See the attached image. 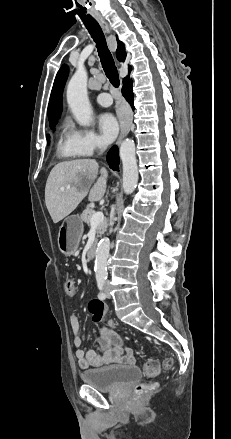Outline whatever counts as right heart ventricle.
I'll use <instances>...</instances> for the list:
<instances>
[{
	"mask_svg": "<svg viewBox=\"0 0 231 439\" xmlns=\"http://www.w3.org/2000/svg\"><path fill=\"white\" fill-rule=\"evenodd\" d=\"M57 152L60 157L66 159H72L80 156L74 147L73 143V130L68 124H65L60 133L57 142Z\"/></svg>",
	"mask_w": 231,
	"mask_h": 439,
	"instance_id": "e07e8e85",
	"label": "right heart ventricle"
}]
</instances>
